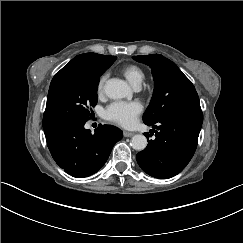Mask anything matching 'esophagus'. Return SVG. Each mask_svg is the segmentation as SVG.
Wrapping results in <instances>:
<instances>
[{"label":"esophagus","mask_w":243,"mask_h":243,"mask_svg":"<svg viewBox=\"0 0 243 243\" xmlns=\"http://www.w3.org/2000/svg\"><path fill=\"white\" fill-rule=\"evenodd\" d=\"M123 135H124V137H132L134 135V133L133 132L124 131Z\"/></svg>","instance_id":"1"}]
</instances>
